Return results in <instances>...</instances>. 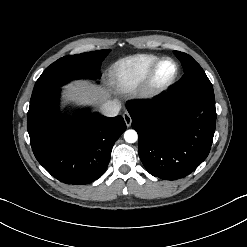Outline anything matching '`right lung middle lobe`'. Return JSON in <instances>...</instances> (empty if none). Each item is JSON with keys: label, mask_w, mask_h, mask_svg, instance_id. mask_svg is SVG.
<instances>
[{"label": "right lung middle lobe", "mask_w": 247, "mask_h": 247, "mask_svg": "<svg viewBox=\"0 0 247 247\" xmlns=\"http://www.w3.org/2000/svg\"><path fill=\"white\" fill-rule=\"evenodd\" d=\"M110 50L70 55L60 58L45 69L37 80L30 106L39 104L58 88L74 79H100V66Z\"/></svg>", "instance_id": "dd1d6c3e"}]
</instances>
